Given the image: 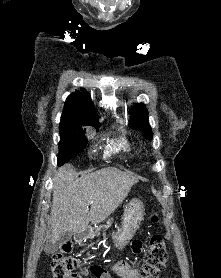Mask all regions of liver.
Listing matches in <instances>:
<instances>
[{"instance_id": "obj_1", "label": "liver", "mask_w": 221, "mask_h": 278, "mask_svg": "<svg viewBox=\"0 0 221 278\" xmlns=\"http://www.w3.org/2000/svg\"><path fill=\"white\" fill-rule=\"evenodd\" d=\"M137 182L135 175L112 167L81 177L69 164L60 168L53 184L50 242L55 244L68 231H85L89 222L104 221Z\"/></svg>"}]
</instances>
